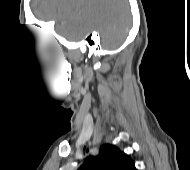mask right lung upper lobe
<instances>
[{
	"instance_id": "1",
	"label": "right lung upper lobe",
	"mask_w": 190,
	"mask_h": 170,
	"mask_svg": "<svg viewBox=\"0 0 190 170\" xmlns=\"http://www.w3.org/2000/svg\"><path fill=\"white\" fill-rule=\"evenodd\" d=\"M78 170H137L131 157L118 147L104 144L97 156L88 157Z\"/></svg>"
}]
</instances>
